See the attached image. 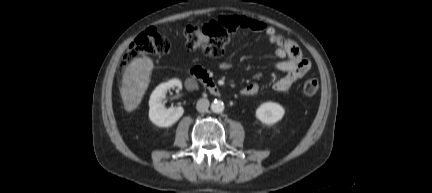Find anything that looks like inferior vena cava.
<instances>
[{
	"instance_id": "obj_1",
	"label": "inferior vena cava",
	"mask_w": 432,
	"mask_h": 193,
	"mask_svg": "<svg viewBox=\"0 0 432 193\" xmlns=\"http://www.w3.org/2000/svg\"><path fill=\"white\" fill-rule=\"evenodd\" d=\"M209 105H210V103H209L208 99L201 98L197 101L196 108L199 112L203 113V112H206L208 110Z\"/></svg>"
}]
</instances>
